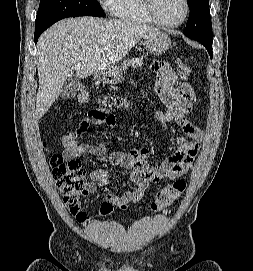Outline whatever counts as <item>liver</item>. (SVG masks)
Segmentation results:
<instances>
[{"instance_id":"obj_1","label":"liver","mask_w":253,"mask_h":271,"mask_svg":"<svg viewBox=\"0 0 253 271\" xmlns=\"http://www.w3.org/2000/svg\"><path fill=\"white\" fill-rule=\"evenodd\" d=\"M153 31L158 29L128 20L97 17L68 18L51 26L37 43L36 119L55 102L68 77L86 78L105 71ZM98 49L103 52L98 54Z\"/></svg>"}]
</instances>
